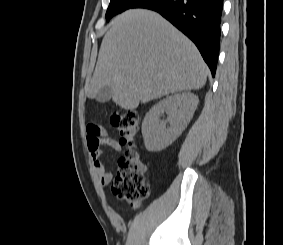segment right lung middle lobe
I'll return each mask as SVG.
<instances>
[{
    "instance_id": "1",
    "label": "right lung middle lobe",
    "mask_w": 283,
    "mask_h": 245,
    "mask_svg": "<svg viewBox=\"0 0 283 245\" xmlns=\"http://www.w3.org/2000/svg\"><path fill=\"white\" fill-rule=\"evenodd\" d=\"M140 0H111L106 12V20L109 21L114 15L132 8Z\"/></svg>"
}]
</instances>
